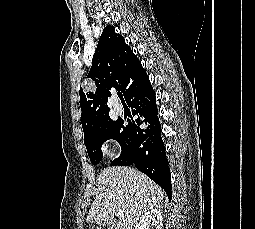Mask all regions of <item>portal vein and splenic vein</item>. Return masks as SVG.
Segmentation results:
<instances>
[{"label":"portal vein and splenic vein","instance_id":"1","mask_svg":"<svg viewBox=\"0 0 255 229\" xmlns=\"http://www.w3.org/2000/svg\"><path fill=\"white\" fill-rule=\"evenodd\" d=\"M118 216H123L124 215V212L122 210L118 211L117 213Z\"/></svg>","mask_w":255,"mask_h":229}]
</instances>
